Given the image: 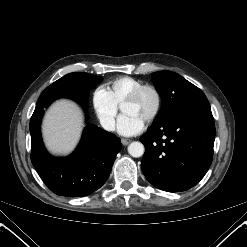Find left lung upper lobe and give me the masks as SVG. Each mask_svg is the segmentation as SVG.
<instances>
[{"mask_svg": "<svg viewBox=\"0 0 247 247\" xmlns=\"http://www.w3.org/2000/svg\"><path fill=\"white\" fill-rule=\"evenodd\" d=\"M151 77L162 98V107L156 119L169 118L191 102L207 100L198 87L174 72L158 71Z\"/></svg>", "mask_w": 247, "mask_h": 247, "instance_id": "5c2ea615", "label": "left lung upper lobe"}]
</instances>
